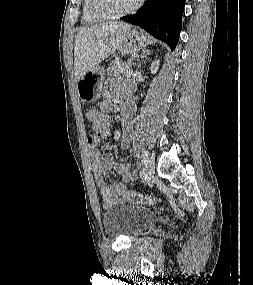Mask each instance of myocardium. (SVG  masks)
Returning <instances> with one entry per match:
<instances>
[{
    "instance_id": "f54148a6",
    "label": "myocardium",
    "mask_w": 253,
    "mask_h": 285,
    "mask_svg": "<svg viewBox=\"0 0 253 285\" xmlns=\"http://www.w3.org/2000/svg\"><path fill=\"white\" fill-rule=\"evenodd\" d=\"M91 10L98 17L105 20L119 19L135 12L142 4L143 0H136V2L128 9L121 12H110L104 7L103 0H90Z\"/></svg>"
}]
</instances>
